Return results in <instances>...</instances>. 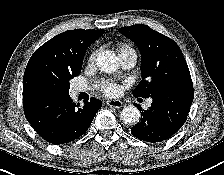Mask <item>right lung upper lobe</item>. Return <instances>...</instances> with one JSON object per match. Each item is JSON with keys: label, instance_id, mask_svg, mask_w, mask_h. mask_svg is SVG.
I'll return each instance as SVG.
<instances>
[{"label": "right lung upper lobe", "instance_id": "1", "mask_svg": "<svg viewBox=\"0 0 224 175\" xmlns=\"http://www.w3.org/2000/svg\"><path fill=\"white\" fill-rule=\"evenodd\" d=\"M105 30H69L38 48L31 56L23 77V96L39 92L40 79L49 72H70L82 67L89 45Z\"/></svg>", "mask_w": 224, "mask_h": 175}]
</instances>
